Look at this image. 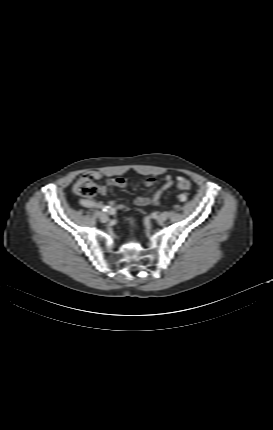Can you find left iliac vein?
Segmentation results:
<instances>
[{"mask_svg": "<svg viewBox=\"0 0 273 430\" xmlns=\"http://www.w3.org/2000/svg\"><path fill=\"white\" fill-rule=\"evenodd\" d=\"M168 216H169L168 212H163L157 216V220L160 222H164L167 220Z\"/></svg>", "mask_w": 273, "mask_h": 430, "instance_id": "obj_1", "label": "left iliac vein"}]
</instances>
